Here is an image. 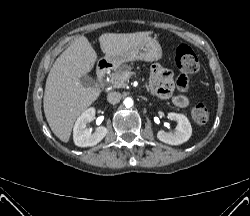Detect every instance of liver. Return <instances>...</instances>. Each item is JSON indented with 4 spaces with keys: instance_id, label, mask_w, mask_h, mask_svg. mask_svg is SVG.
Instances as JSON below:
<instances>
[{
    "instance_id": "1",
    "label": "liver",
    "mask_w": 250,
    "mask_h": 216,
    "mask_svg": "<svg viewBox=\"0 0 250 216\" xmlns=\"http://www.w3.org/2000/svg\"><path fill=\"white\" fill-rule=\"evenodd\" d=\"M152 32L126 34L105 33L99 43L105 57L114 56L149 38ZM97 61V54L88 39H76L55 61L46 80L43 106L52 132L68 142L73 124L100 95L97 87H84L80 78L86 76Z\"/></svg>"
}]
</instances>
